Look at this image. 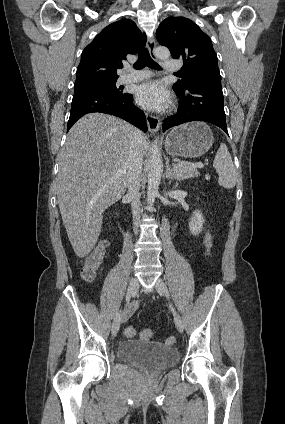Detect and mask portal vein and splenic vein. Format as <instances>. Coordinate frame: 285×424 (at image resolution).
Instances as JSON below:
<instances>
[{
	"label": "portal vein and splenic vein",
	"instance_id": "1",
	"mask_svg": "<svg viewBox=\"0 0 285 424\" xmlns=\"http://www.w3.org/2000/svg\"><path fill=\"white\" fill-rule=\"evenodd\" d=\"M178 163H188V162L181 161V162H178ZM191 165L196 167V168L203 167V163H192Z\"/></svg>",
	"mask_w": 285,
	"mask_h": 424
}]
</instances>
